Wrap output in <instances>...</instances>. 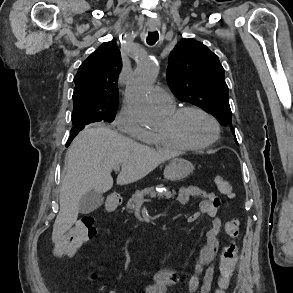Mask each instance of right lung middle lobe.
Segmentation results:
<instances>
[{"instance_id":"1","label":"right lung middle lobe","mask_w":293,"mask_h":293,"mask_svg":"<svg viewBox=\"0 0 293 293\" xmlns=\"http://www.w3.org/2000/svg\"><path fill=\"white\" fill-rule=\"evenodd\" d=\"M116 110L97 111L82 108H74L72 114L73 127H85L93 122H112L115 119Z\"/></svg>"}]
</instances>
